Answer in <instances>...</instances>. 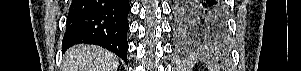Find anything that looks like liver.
Here are the masks:
<instances>
[{
	"instance_id": "6515ba94",
	"label": "liver",
	"mask_w": 301,
	"mask_h": 71,
	"mask_svg": "<svg viewBox=\"0 0 301 71\" xmlns=\"http://www.w3.org/2000/svg\"><path fill=\"white\" fill-rule=\"evenodd\" d=\"M119 58L108 50L93 45H78L64 55V71H117Z\"/></svg>"
}]
</instances>
